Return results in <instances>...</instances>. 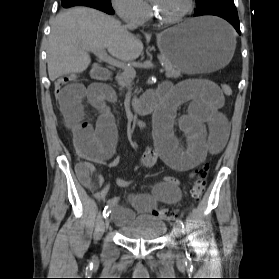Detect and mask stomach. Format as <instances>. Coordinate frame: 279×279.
I'll use <instances>...</instances> for the list:
<instances>
[{"label":"stomach","mask_w":279,"mask_h":279,"mask_svg":"<svg viewBox=\"0 0 279 279\" xmlns=\"http://www.w3.org/2000/svg\"><path fill=\"white\" fill-rule=\"evenodd\" d=\"M235 37L223 21L200 17L157 36L161 55L186 74L225 69L235 50Z\"/></svg>","instance_id":"0dacf381"}]
</instances>
